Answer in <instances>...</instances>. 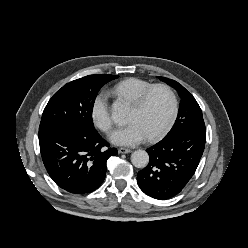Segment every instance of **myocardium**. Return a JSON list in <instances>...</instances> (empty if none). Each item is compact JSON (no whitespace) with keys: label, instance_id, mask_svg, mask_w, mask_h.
<instances>
[{"label":"myocardium","instance_id":"obj_1","mask_svg":"<svg viewBox=\"0 0 248 248\" xmlns=\"http://www.w3.org/2000/svg\"><path fill=\"white\" fill-rule=\"evenodd\" d=\"M157 89L165 90L169 94L170 99H171V110H170L168 118L166 119L164 124L154 134H152L148 137V140H150V141L157 140L158 138H160L162 135H164L166 133V131L172 125V123L176 117L177 110H178L177 96H176L175 92L173 91V89L166 84H154V85H152L151 87L146 89L144 92H142L137 97V99L132 103V106L135 109L143 108L147 99L151 95V93Z\"/></svg>","mask_w":248,"mask_h":248}]
</instances>
